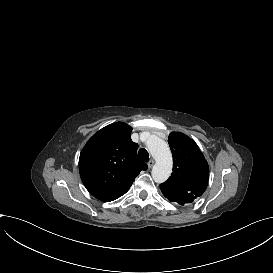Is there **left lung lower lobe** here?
Instances as JSON below:
<instances>
[{"label": "left lung lower lobe", "instance_id": "obj_1", "mask_svg": "<svg viewBox=\"0 0 273 273\" xmlns=\"http://www.w3.org/2000/svg\"><path fill=\"white\" fill-rule=\"evenodd\" d=\"M165 197H167L170 201L177 202L181 205H184L185 203H191L196 198V196L192 194H188L185 196H178V197H168V196H165Z\"/></svg>", "mask_w": 273, "mask_h": 273}]
</instances>
